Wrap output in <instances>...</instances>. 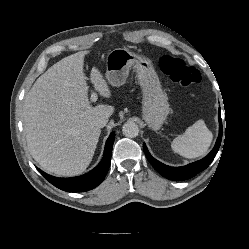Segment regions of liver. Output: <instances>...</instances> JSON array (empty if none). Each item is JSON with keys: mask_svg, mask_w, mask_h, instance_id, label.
Returning <instances> with one entry per match:
<instances>
[{"mask_svg": "<svg viewBox=\"0 0 249 249\" xmlns=\"http://www.w3.org/2000/svg\"><path fill=\"white\" fill-rule=\"evenodd\" d=\"M86 54L80 51L55 63L24 98L22 116L30 154L57 176H77L86 170L101 134L96 120L114 112L113 106L90 104L83 69ZM91 82L101 96H111L96 67Z\"/></svg>", "mask_w": 249, "mask_h": 249, "instance_id": "1", "label": "liver"}]
</instances>
